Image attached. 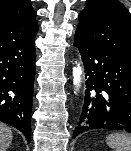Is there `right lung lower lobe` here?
Returning <instances> with one entry per match:
<instances>
[{"label":"right lung lower lobe","mask_w":131,"mask_h":151,"mask_svg":"<svg viewBox=\"0 0 131 151\" xmlns=\"http://www.w3.org/2000/svg\"><path fill=\"white\" fill-rule=\"evenodd\" d=\"M35 35L0 40V121L25 134L28 142L36 70Z\"/></svg>","instance_id":"1"}]
</instances>
